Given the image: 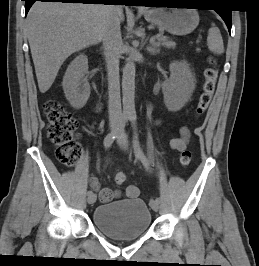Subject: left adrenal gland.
Masks as SVG:
<instances>
[{"mask_svg":"<svg viewBox=\"0 0 259 266\" xmlns=\"http://www.w3.org/2000/svg\"><path fill=\"white\" fill-rule=\"evenodd\" d=\"M146 49L152 55H155L156 53H159V51H160L158 45H153V44H150L149 46H147Z\"/></svg>","mask_w":259,"mask_h":266,"instance_id":"left-adrenal-gland-1","label":"left adrenal gland"}]
</instances>
